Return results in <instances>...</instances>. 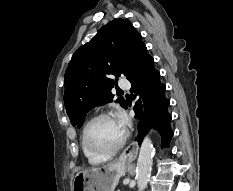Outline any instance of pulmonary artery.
Masks as SVG:
<instances>
[{
	"label": "pulmonary artery",
	"instance_id": "e3ab8cb5",
	"mask_svg": "<svg viewBox=\"0 0 233 191\" xmlns=\"http://www.w3.org/2000/svg\"><path fill=\"white\" fill-rule=\"evenodd\" d=\"M119 86L123 89H129L130 88V83L126 79H121L119 81Z\"/></svg>",
	"mask_w": 233,
	"mask_h": 191
}]
</instances>
